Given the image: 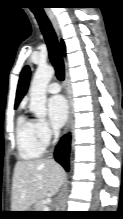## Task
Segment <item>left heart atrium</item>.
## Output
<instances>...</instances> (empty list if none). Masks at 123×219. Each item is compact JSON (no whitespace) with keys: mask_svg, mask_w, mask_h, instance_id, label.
Returning a JSON list of instances; mask_svg holds the SVG:
<instances>
[{"mask_svg":"<svg viewBox=\"0 0 123 219\" xmlns=\"http://www.w3.org/2000/svg\"><path fill=\"white\" fill-rule=\"evenodd\" d=\"M48 114L55 128H59L65 123L68 115V106L63 96L56 95L48 100Z\"/></svg>","mask_w":123,"mask_h":219,"instance_id":"obj_1","label":"left heart atrium"}]
</instances>
